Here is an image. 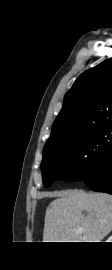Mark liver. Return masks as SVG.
Wrapping results in <instances>:
<instances>
[{
	"label": "liver",
	"instance_id": "6515ba94",
	"mask_svg": "<svg viewBox=\"0 0 112 270\" xmlns=\"http://www.w3.org/2000/svg\"><path fill=\"white\" fill-rule=\"evenodd\" d=\"M51 196L57 199L46 210L43 242H101L112 231V195L68 190Z\"/></svg>",
	"mask_w": 112,
	"mask_h": 270
}]
</instances>
